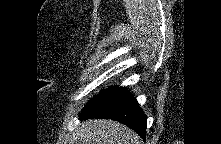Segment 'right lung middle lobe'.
I'll list each match as a JSON object with an SVG mask.
<instances>
[{
    "label": "right lung middle lobe",
    "mask_w": 221,
    "mask_h": 144,
    "mask_svg": "<svg viewBox=\"0 0 221 144\" xmlns=\"http://www.w3.org/2000/svg\"><path fill=\"white\" fill-rule=\"evenodd\" d=\"M117 86H112L107 88L106 90L102 91L100 94L94 96L88 103L87 105H85V107L83 108V110L89 108L90 106H92L94 103H96L100 98H102L106 93H108L109 91L113 90L114 88H116ZM82 110V111H83Z\"/></svg>",
    "instance_id": "1"
}]
</instances>
